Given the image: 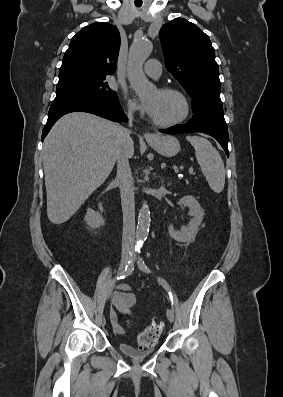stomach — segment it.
<instances>
[{"instance_id":"stomach-1","label":"stomach","mask_w":283,"mask_h":397,"mask_svg":"<svg viewBox=\"0 0 283 397\" xmlns=\"http://www.w3.org/2000/svg\"><path fill=\"white\" fill-rule=\"evenodd\" d=\"M147 143L165 157L175 156L180 151L179 141L170 135H155L152 139L147 140Z\"/></svg>"}]
</instances>
